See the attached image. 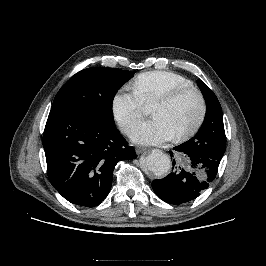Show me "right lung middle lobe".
<instances>
[{
	"label": "right lung middle lobe",
	"instance_id": "right-lung-middle-lobe-1",
	"mask_svg": "<svg viewBox=\"0 0 266 266\" xmlns=\"http://www.w3.org/2000/svg\"><path fill=\"white\" fill-rule=\"evenodd\" d=\"M134 75L116 68H87L72 76L57 93L51 111L89 115L114 123L111 101L117 90Z\"/></svg>",
	"mask_w": 266,
	"mask_h": 266
}]
</instances>
